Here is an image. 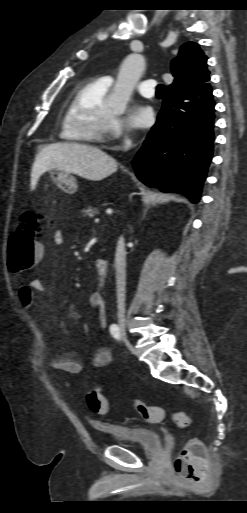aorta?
<instances>
[{
	"label": "aorta",
	"mask_w": 247,
	"mask_h": 513,
	"mask_svg": "<svg viewBox=\"0 0 247 513\" xmlns=\"http://www.w3.org/2000/svg\"><path fill=\"white\" fill-rule=\"evenodd\" d=\"M145 68V60L140 54H130L122 62L117 82L109 98V107L118 114L125 111L134 87Z\"/></svg>",
	"instance_id": "1"
}]
</instances>
